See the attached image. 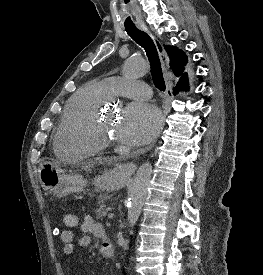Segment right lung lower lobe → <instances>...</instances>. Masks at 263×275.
Listing matches in <instances>:
<instances>
[{
    "mask_svg": "<svg viewBox=\"0 0 263 275\" xmlns=\"http://www.w3.org/2000/svg\"><path fill=\"white\" fill-rule=\"evenodd\" d=\"M187 89H188V78L186 76L185 79L181 83L177 84V86L174 88L173 93L176 94L180 90H187Z\"/></svg>",
    "mask_w": 263,
    "mask_h": 275,
    "instance_id": "right-lung-lower-lobe-1",
    "label": "right lung lower lobe"
}]
</instances>
